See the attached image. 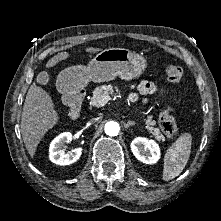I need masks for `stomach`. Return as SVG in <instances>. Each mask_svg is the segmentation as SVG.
Masks as SVG:
<instances>
[{"mask_svg": "<svg viewBox=\"0 0 221 221\" xmlns=\"http://www.w3.org/2000/svg\"><path fill=\"white\" fill-rule=\"evenodd\" d=\"M147 67L146 59L126 48H109L99 52L87 66H71L58 76L67 87L77 89L89 81L108 82L117 76L122 80H132L143 74Z\"/></svg>", "mask_w": 221, "mask_h": 221, "instance_id": "stomach-1", "label": "stomach"}]
</instances>
